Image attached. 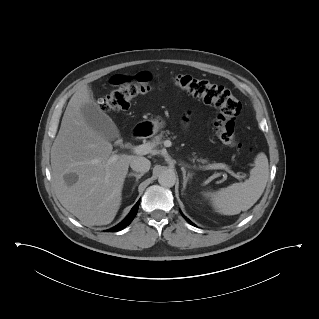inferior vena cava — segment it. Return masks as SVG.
<instances>
[{
    "label": "inferior vena cava",
    "mask_w": 319,
    "mask_h": 319,
    "mask_svg": "<svg viewBox=\"0 0 319 319\" xmlns=\"http://www.w3.org/2000/svg\"><path fill=\"white\" fill-rule=\"evenodd\" d=\"M151 166V162L145 157L136 156L130 162V167L136 172L145 173L148 172Z\"/></svg>",
    "instance_id": "602c4592"
}]
</instances>
